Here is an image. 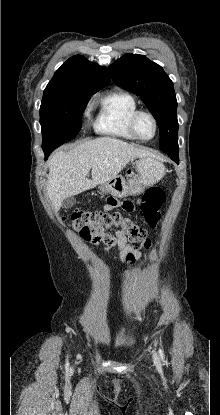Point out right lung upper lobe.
<instances>
[{
  "label": "right lung upper lobe",
  "mask_w": 220,
  "mask_h": 415,
  "mask_svg": "<svg viewBox=\"0 0 220 415\" xmlns=\"http://www.w3.org/2000/svg\"><path fill=\"white\" fill-rule=\"evenodd\" d=\"M110 82L106 67L89 62L75 55L69 58L54 74L46 89L97 92Z\"/></svg>",
  "instance_id": "cb5924a9"
}]
</instances>
